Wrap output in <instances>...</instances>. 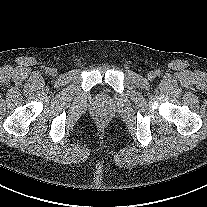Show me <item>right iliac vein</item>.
<instances>
[{
	"mask_svg": "<svg viewBox=\"0 0 207 207\" xmlns=\"http://www.w3.org/2000/svg\"><path fill=\"white\" fill-rule=\"evenodd\" d=\"M50 74H51L52 76H55V75L57 74V70H56V69H51V70H50Z\"/></svg>",
	"mask_w": 207,
	"mask_h": 207,
	"instance_id": "63e3f726",
	"label": "right iliac vein"
}]
</instances>
